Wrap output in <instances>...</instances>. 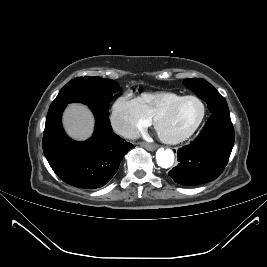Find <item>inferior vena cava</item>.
Here are the masks:
<instances>
[{
  "instance_id": "602c4592",
  "label": "inferior vena cava",
  "mask_w": 267,
  "mask_h": 267,
  "mask_svg": "<svg viewBox=\"0 0 267 267\" xmlns=\"http://www.w3.org/2000/svg\"><path fill=\"white\" fill-rule=\"evenodd\" d=\"M114 131L128 139H136L139 136L138 131L131 125L128 124H114Z\"/></svg>"
}]
</instances>
